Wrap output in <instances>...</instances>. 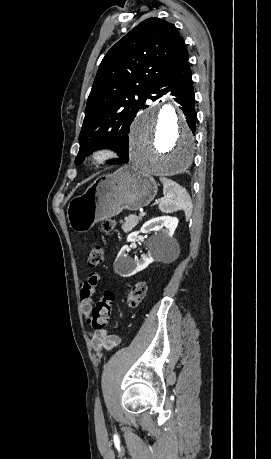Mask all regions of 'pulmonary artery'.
Here are the masks:
<instances>
[{
	"label": "pulmonary artery",
	"mask_w": 271,
	"mask_h": 459,
	"mask_svg": "<svg viewBox=\"0 0 271 459\" xmlns=\"http://www.w3.org/2000/svg\"><path fill=\"white\" fill-rule=\"evenodd\" d=\"M143 103L146 105V106H152L154 104V99L152 97H146L144 100H143Z\"/></svg>",
	"instance_id": "1"
}]
</instances>
